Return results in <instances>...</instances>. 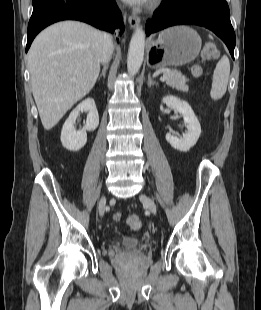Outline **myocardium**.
Returning a JSON list of instances; mask_svg holds the SVG:
<instances>
[{
  "label": "myocardium",
  "instance_id": "myocardium-1",
  "mask_svg": "<svg viewBox=\"0 0 261 310\" xmlns=\"http://www.w3.org/2000/svg\"><path fill=\"white\" fill-rule=\"evenodd\" d=\"M161 0H153V6H157L160 3Z\"/></svg>",
  "mask_w": 261,
  "mask_h": 310
}]
</instances>
